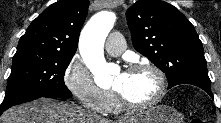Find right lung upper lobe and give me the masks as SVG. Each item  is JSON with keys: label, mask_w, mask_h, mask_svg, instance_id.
<instances>
[{"label": "right lung upper lobe", "mask_w": 221, "mask_h": 123, "mask_svg": "<svg viewBox=\"0 0 221 123\" xmlns=\"http://www.w3.org/2000/svg\"><path fill=\"white\" fill-rule=\"evenodd\" d=\"M89 0H61L50 5L30 24L17 51L40 50L74 53Z\"/></svg>", "instance_id": "cb5924a9"}]
</instances>
